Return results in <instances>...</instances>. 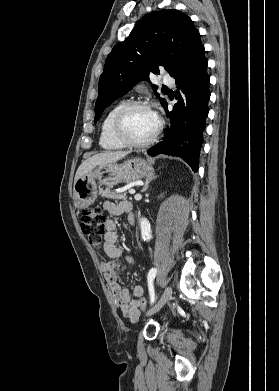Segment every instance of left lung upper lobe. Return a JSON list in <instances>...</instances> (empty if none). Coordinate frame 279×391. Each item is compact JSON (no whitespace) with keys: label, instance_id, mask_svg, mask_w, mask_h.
Returning <instances> with one entry per match:
<instances>
[{"label":"left lung upper lobe","instance_id":"left-lung-upper-lobe-1","mask_svg":"<svg viewBox=\"0 0 279 391\" xmlns=\"http://www.w3.org/2000/svg\"><path fill=\"white\" fill-rule=\"evenodd\" d=\"M203 47L199 31L192 20L177 10H161L146 15L121 43L108 55L99 79L95 104L98 121L104 109L125 95L139 81L159 74L164 68L173 78L182 74ZM156 96L157 86L152 85ZM164 106L167 101L159 98Z\"/></svg>","mask_w":279,"mask_h":391}]
</instances>
